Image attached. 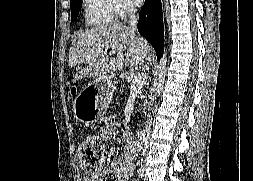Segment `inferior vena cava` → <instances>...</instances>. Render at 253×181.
<instances>
[{"label": "inferior vena cava", "instance_id": "obj_1", "mask_svg": "<svg viewBox=\"0 0 253 181\" xmlns=\"http://www.w3.org/2000/svg\"><path fill=\"white\" fill-rule=\"evenodd\" d=\"M136 12H137V9L134 5H130V6L127 7V13L129 15V22H130V25L133 27V29L136 28V25H137V22H138V18L135 15ZM151 123H154V120H151ZM147 133L151 134L152 133V128H149L147 130Z\"/></svg>", "mask_w": 253, "mask_h": 181}]
</instances>
